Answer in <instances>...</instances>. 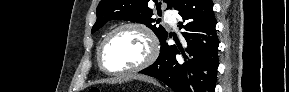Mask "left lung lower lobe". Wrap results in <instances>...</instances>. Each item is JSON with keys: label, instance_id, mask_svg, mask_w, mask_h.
Listing matches in <instances>:
<instances>
[{"label": "left lung lower lobe", "instance_id": "0a47b994", "mask_svg": "<svg viewBox=\"0 0 289 92\" xmlns=\"http://www.w3.org/2000/svg\"><path fill=\"white\" fill-rule=\"evenodd\" d=\"M183 43L161 42V52L151 66L139 73L155 77L175 92H214L219 66L216 19L211 0H178ZM171 37V35H169Z\"/></svg>", "mask_w": 289, "mask_h": 92}]
</instances>
